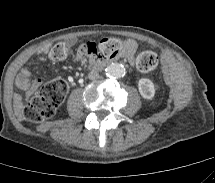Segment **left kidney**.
<instances>
[{"instance_id":"obj_1","label":"left kidney","mask_w":215,"mask_h":183,"mask_svg":"<svg viewBox=\"0 0 215 183\" xmlns=\"http://www.w3.org/2000/svg\"><path fill=\"white\" fill-rule=\"evenodd\" d=\"M138 89L143 98L151 100L154 97L155 88L150 79L141 78L138 81Z\"/></svg>"}]
</instances>
